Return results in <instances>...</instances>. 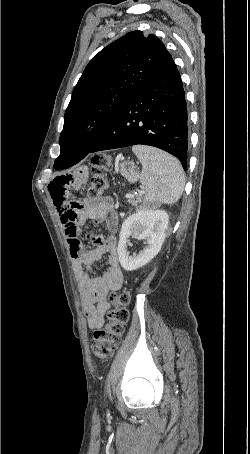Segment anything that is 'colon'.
Returning <instances> with one entry per match:
<instances>
[{
    "instance_id": "1",
    "label": "colon",
    "mask_w": 250,
    "mask_h": 454,
    "mask_svg": "<svg viewBox=\"0 0 250 454\" xmlns=\"http://www.w3.org/2000/svg\"><path fill=\"white\" fill-rule=\"evenodd\" d=\"M91 161L95 173L90 179L88 196L91 199H97L103 196L107 190L108 184L103 172L110 166V157L99 153L95 154ZM109 300L113 308L108 314V323L93 333L92 352L99 361L108 360L118 348L124 325L129 318L127 306L130 301V293L127 288L110 293Z\"/></svg>"
}]
</instances>
